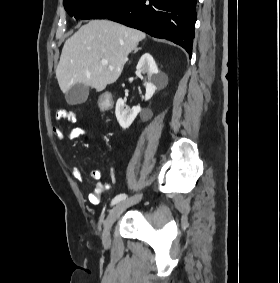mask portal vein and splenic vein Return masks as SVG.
I'll use <instances>...</instances> for the list:
<instances>
[{
	"label": "portal vein and splenic vein",
	"instance_id": "obj_1",
	"mask_svg": "<svg viewBox=\"0 0 280 283\" xmlns=\"http://www.w3.org/2000/svg\"><path fill=\"white\" fill-rule=\"evenodd\" d=\"M101 63H102L103 65H108V61H107V60H101Z\"/></svg>",
	"mask_w": 280,
	"mask_h": 283
}]
</instances>
